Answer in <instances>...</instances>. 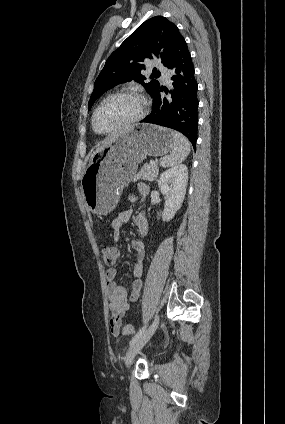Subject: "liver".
I'll use <instances>...</instances> for the list:
<instances>
[{
	"instance_id": "liver-1",
	"label": "liver",
	"mask_w": 285,
	"mask_h": 424,
	"mask_svg": "<svg viewBox=\"0 0 285 424\" xmlns=\"http://www.w3.org/2000/svg\"><path fill=\"white\" fill-rule=\"evenodd\" d=\"M119 136H121V135H119V134H112L111 136L107 137V138H106V139L102 142V144L96 148V150L93 152V154H91V157H92L95 153H97V152L101 151V150H102L104 147H106L107 145H109V144L113 143L114 141H116V139H117Z\"/></svg>"
}]
</instances>
